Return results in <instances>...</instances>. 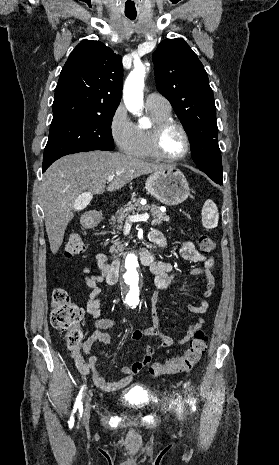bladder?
I'll return each mask as SVG.
<instances>
[{
    "mask_svg": "<svg viewBox=\"0 0 279 465\" xmlns=\"http://www.w3.org/2000/svg\"><path fill=\"white\" fill-rule=\"evenodd\" d=\"M122 400L130 407L139 408L147 404L148 394L144 388L134 386L123 393Z\"/></svg>",
    "mask_w": 279,
    "mask_h": 465,
    "instance_id": "bladder-1",
    "label": "bladder"
}]
</instances>
